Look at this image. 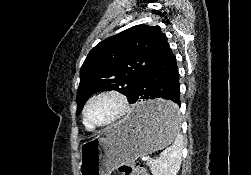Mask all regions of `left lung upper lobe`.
I'll return each mask as SVG.
<instances>
[{
    "mask_svg": "<svg viewBox=\"0 0 251 175\" xmlns=\"http://www.w3.org/2000/svg\"><path fill=\"white\" fill-rule=\"evenodd\" d=\"M167 44L160 27L149 25L131 27L98 43L80 70L76 114L98 91L117 90L130 100L136 85Z\"/></svg>",
    "mask_w": 251,
    "mask_h": 175,
    "instance_id": "left-lung-upper-lobe-1",
    "label": "left lung upper lobe"
}]
</instances>
